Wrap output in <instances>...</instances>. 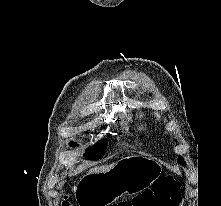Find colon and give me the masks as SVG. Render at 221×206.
Masks as SVG:
<instances>
[{
  "mask_svg": "<svg viewBox=\"0 0 221 206\" xmlns=\"http://www.w3.org/2000/svg\"><path fill=\"white\" fill-rule=\"evenodd\" d=\"M180 194L178 189L166 177L155 181L150 189L136 196L132 201H121L113 206H178ZM63 206H69L67 197L64 198Z\"/></svg>",
  "mask_w": 221,
  "mask_h": 206,
  "instance_id": "colon-1",
  "label": "colon"
}]
</instances>
